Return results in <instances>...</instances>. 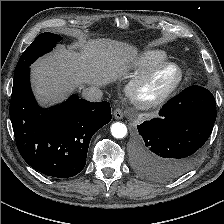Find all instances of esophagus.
<instances>
[{"instance_id":"obj_1","label":"esophagus","mask_w":224,"mask_h":224,"mask_svg":"<svg viewBox=\"0 0 224 224\" xmlns=\"http://www.w3.org/2000/svg\"><path fill=\"white\" fill-rule=\"evenodd\" d=\"M123 116H124V113H123L122 109L116 108L114 110V117H115V119H117V120L122 119Z\"/></svg>"}]
</instances>
